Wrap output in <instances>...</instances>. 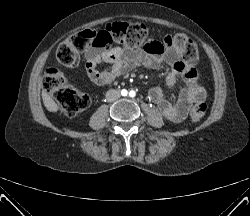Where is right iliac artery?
<instances>
[{"label":"right iliac artery","mask_w":250,"mask_h":216,"mask_svg":"<svg viewBox=\"0 0 250 216\" xmlns=\"http://www.w3.org/2000/svg\"><path fill=\"white\" fill-rule=\"evenodd\" d=\"M121 94H122L123 96H126V95L128 94V92H127V90L123 89V90L121 91Z\"/></svg>","instance_id":"82829eb1"}]
</instances>
